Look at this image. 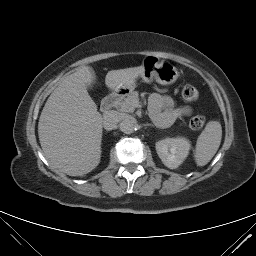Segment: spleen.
I'll return each instance as SVG.
<instances>
[{
	"mask_svg": "<svg viewBox=\"0 0 256 256\" xmlns=\"http://www.w3.org/2000/svg\"><path fill=\"white\" fill-rule=\"evenodd\" d=\"M222 139V127L218 121H210L200 134L195 148V161L198 166L206 165L216 154Z\"/></svg>",
	"mask_w": 256,
	"mask_h": 256,
	"instance_id": "spleen-1",
	"label": "spleen"
}]
</instances>
